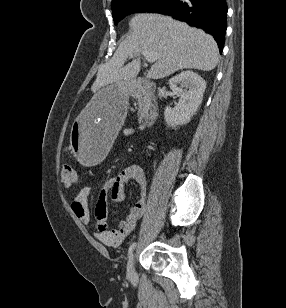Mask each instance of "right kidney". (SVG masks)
I'll use <instances>...</instances> for the list:
<instances>
[{
    "instance_id": "right-kidney-1",
    "label": "right kidney",
    "mask_w": 286,
    "mask_h": 308,
    "mask_svg": "<svg viewBox=\"0 0 286 308\" xmlns=\"http://www.w3.org/2000/svg\"><path fill=\"white\" fill-rule=\"evenodd\" d=\"M169 86L180 98L173 109L165 108L167 126L175 127L189 123L202 103L206 89L205 80L193 71H183L169 80Z\"/></svg>"
}]
</instances>
